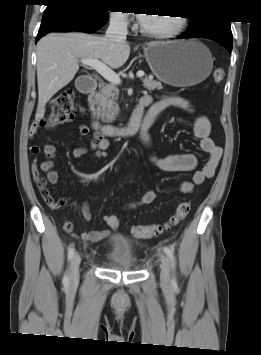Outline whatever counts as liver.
<instances>
[{
    "label": "liver",
    "instance_id": "liver-1",
    "mask_svg": "<svg viewBox=\"0 0 261 355\" xmlns=\"http://www.w3.org/2000/svg\"><path fill=\"white\" fill-rule=\"evenodd\" d=\"M130 55L127 42L113 43L105 36L85 33H50L37 44L38 106L42 118L47 102L70 83L80 59H98L113 69L125 64Z\"/></svg>",
    "mask_w": 261,
    "mask_h": 355
}]
</instances>
